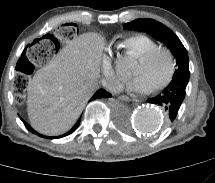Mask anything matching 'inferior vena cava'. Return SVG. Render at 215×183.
<instances>
[{
    "mask_svg": "<svg viewBox=\"0 0 215 183\" xmlns=\"http://www.w3.org/2000/svg\"><path fill=\"white\" fill-rule=\"evenodd\" d=\"M102 84H103V86H107V85H108V81L105 80V79H103V80H102Z\"/></svg>",
    "mask_w": 215,
    "mask_h": 183,
    "instance_id": "602c4592",
    "label": "inferior vena cava"
}]
</instances>
